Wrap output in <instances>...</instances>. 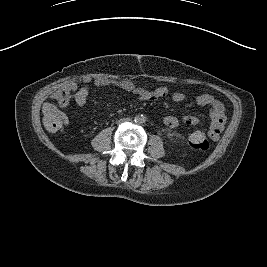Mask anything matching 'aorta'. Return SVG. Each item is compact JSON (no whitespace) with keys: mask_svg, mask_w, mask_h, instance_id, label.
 <instances>
[{"mask_svg":"<svg viewBox=\"0 0 267 267\" xmlns=\"http://www.w3.org/2000/svg\"><path fill=\"white\" fill-rule=\"evenodd\" d=\"M135 122H136L137 124H143V123L146 122V117L143 116V115H137V116L135 117Z\"/></svg>","mask_w":267,"mask_h":267,"instance_id":"obj_1","label":"aorta"}]
</instances>
